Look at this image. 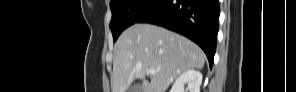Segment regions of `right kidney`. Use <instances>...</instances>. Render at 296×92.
Returning <instances> with one entry per match:
<instances>
[{"mask_svg": "<svg viewBox=\"0 0 296 92\" xmlns=\"http://www.w3.org/2000/svg\"><path fill=\"white\" fill-rule=\"evenodd\" d=\"M202 74L200 71L189 69L183 72L174 82L170 92H200ZM188 84V89L184 86Z\"/></svg>", "mask_w": 296, "mask_h": 92, "instance_id": "obj_1", "label": "right kidney"}]
</instances>
